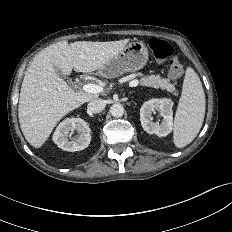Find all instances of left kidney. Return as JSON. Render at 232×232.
I'll list each match as a JSON object with an SVG mask.
<instances>
[{"label": "left kidney", "mask_w": 232, "mask_h": 232, "mask_svg": "<svg viewBox=\"0 0 232 232\" xmlns=\"http://www.w3.org/2000/svg\"><path fill=\"white\" fill-rule=\"evenodd\" d=\"M173 101L167 98L151 99L140 108V121L143 129L149 134L167 136L173 129ZM158 111L163 120L159 123L152 122V113Z\"/></svg>", "instance_id": "5707ae66"}]
</instances>
